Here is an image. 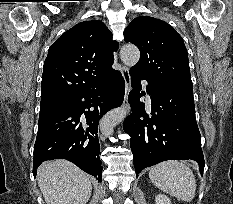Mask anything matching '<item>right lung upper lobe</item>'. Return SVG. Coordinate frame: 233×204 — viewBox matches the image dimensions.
<instances>
[{"label": "right lung upper lobe", "instance_id": "1", "mask_svg": "<svg viewBox=\"0 0 233 204\" xmlns=\"http://www.w3.org/2000/svg\"><path fill=\"white\" fill-rule=\"evenodd\" d=\"M118 43L100 20L78 23L49 48L43 66L41 104L66 101L105 80L114 70Z\"/></svg>", "mask_w": 233, "mask_h": 204}]
</instances>
